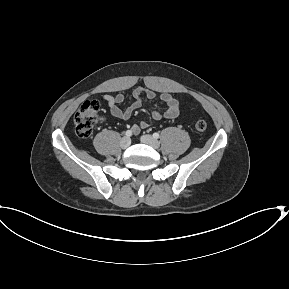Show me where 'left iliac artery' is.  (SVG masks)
Segmentation results:
<instances>
[{
	"label": "left iliac artery",
	"instance_id": "obj_1",
	"mask_svg": "<svg viewBox=\"0 0 289 289\" xmlns=\"http://www.w3.org/2000/svg\"><path fill=\"white\" fill-rule=\"evenodd\" d=\"M153 137L156 138V139L159 138V133H154Z\"/></svg>",
	"mask_w": 289,
	"mask_h": 289
}]
</instances>
